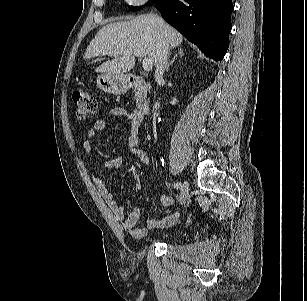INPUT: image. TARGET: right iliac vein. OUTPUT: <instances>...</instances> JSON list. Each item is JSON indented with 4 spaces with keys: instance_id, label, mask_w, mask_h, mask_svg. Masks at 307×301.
<instances>
[{
    "instance_id": "63e3f726",
    "label": "right iliac vein",
    "mask_w": 307,
    "mask_h": 301,
    "mask_svg": "<svg viewBox=\"0 0 307 301\" xmlns=\"http://www.w3.org/2000/svg\"><path fill=\"white\" fill-rule=\"evenodd\" d=\"M188 196H189L188 183L184 182L183 187L181 189V194H180V203L185 204L186 200L188 199Z\"/></svg>"
}]
</instances>
